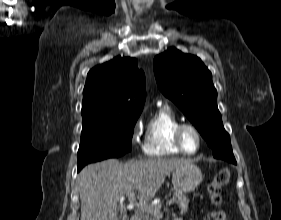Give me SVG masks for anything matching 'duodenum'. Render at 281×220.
Returning <instances> with one entry per match:
<instances>
[{"label":"duodenum","instance_id":"410a0bca","mask_svg":"<svg viewBox=\"0 0 281 220\" xmlns=\"http://www.w3.org/2000/svg\"><path fill=\"white\" fill-rule=\"evenodd\" d=\"M129 220H138V218L132 217V218H130ZM177 220H179V219H177Z\"/></svg>","mask_w":281,"mask_h":220}]
</instances>
